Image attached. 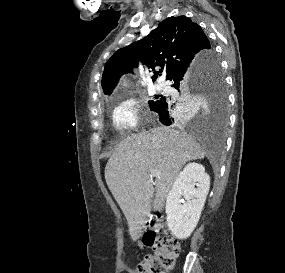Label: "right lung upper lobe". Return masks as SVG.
Returning a JSON list of instances; mask_svg holds the SVG:
<instances>
[{
    "instance_id": "obj_1",
    "label": "right lung upper lobe",
    "mask_w": 285,
    "mask_h": 273,
    "mask_svg": "<svg viewBox=\"0 0 285 273\" xmlns=\"http://www.w3.org/2000/svg\"><path fill=\"white\" fill-rule=\"evenodd\" d=\"M213 52L208 38L197 23L186 16L169 17L148 36L119 49L108 60L102 76L104 94L110 95L119 77L132 72L139 60L152 70L165 68L166 79L171 80ZM154 73L153 81L159 72Z\"/></svg>"
}]
</instances>
